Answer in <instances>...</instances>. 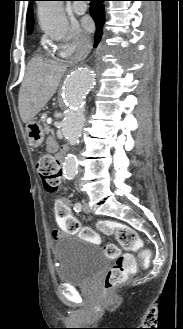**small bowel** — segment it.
<instances>
[{
	"instance_id": "c3829d8e",
	"label": "small bowel",
	"mask_w": 183,
	"mask_h": 329,
	"mask_svg": "<svg viewBox=\"0 0 183 329\" xmlns=\"http://www.w3.org/2000/svg\"><path fill=\"white\" fill-rule=\"evenodd\" d=\"M61 202V203H57ZM71 205L66 198H62L53 204L52 215H55L56 224L61 227L62 232H68L69 236H83V242L100 241L94 225H78V220L74 219V212H71ZM61 234L60 230H54L52 237L58 238Z\"/></svg>"
}]
</instances>
